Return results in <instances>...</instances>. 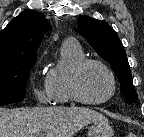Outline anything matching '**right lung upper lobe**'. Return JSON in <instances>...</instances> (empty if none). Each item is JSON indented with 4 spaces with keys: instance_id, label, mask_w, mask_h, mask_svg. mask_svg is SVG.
<instances>
[{
    "instance_id": "1",
    "label": "right lung upper lobe",
    "mask_w": 144,
    "mask_h": 137,
    "mask_svg": "<svg viewBox=\"0 0 144 137\" xmlns=\"http://www.w3.org/2000/svg\"><path fill=\"white\" fill-rule=\"evenodd\" d=\"M49 30L41 13L21 12L0 32V63L35 59L44 33Z\"/></svg>"
}]
</instances>
